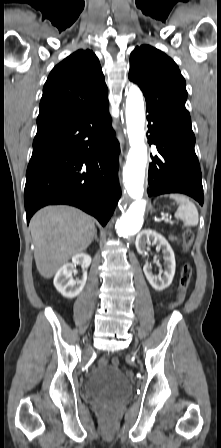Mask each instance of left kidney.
<instances>
[{
  "mask_svg": "<svg viewBox=\"0 0 221 448\" xmlns=\"http://www.w3.org/2000/svg\"><path fill=\"white\" fill-rule=\"evenodd\" d=\"M151 241L153 244H157L158 248L162 249L166 266L162 272L163 277L153 275L152 266L148 262L143 266V271L151 286L157 291H162L172 283L176 268L175 255L165 237L151 229H145L137 235L135 245L138 253H144L146 244H150Z\"/></svg>",
  "mask_w": 221,
  "mask_h": 448,
  "instance_id": "obj_1",
  "label": "left kidney"
}]
</instances>
